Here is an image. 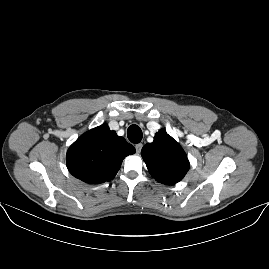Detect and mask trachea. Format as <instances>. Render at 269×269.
Listing matches in <instances>:
<instances>
[{"instance_id": "3493384b", "label": "trachea", "mask_w": 269, "mask_h": 269, "mask_svg": "<svg viewBox=\"0 0 269 269\" xmlns=\"http://www.w3.org/2000/svg\"><path fill=\"white\" fill-rule=\"evenodd\" d=\"M127 136L132 143H139L142 140L143 133L139 126L133 124L129 126Z\"/></svg>"}]
</instances>
